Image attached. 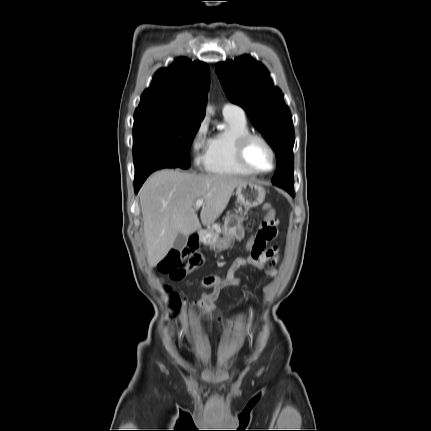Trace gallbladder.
Segmentation results:
<instances>
[{"label":"gallbladder","instance_id":"obj_1","mask_svg":"<svg viewBox=\"0 0 431 431\" xmlns=\"http://www.w3.org/2000/svg\"><path fill=\"white\" fill-rule=\"evenodd\" d=\"M188 240V236L185 234L179 233L174 241L173 248L177 251L183 250L186 246Z\"/></svg>","mask_w":431,"mask_h":431}]
</instances>
